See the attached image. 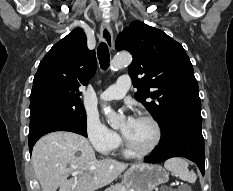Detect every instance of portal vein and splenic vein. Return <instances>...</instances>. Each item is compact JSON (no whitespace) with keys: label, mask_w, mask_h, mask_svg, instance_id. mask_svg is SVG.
I'll return each instance as SVG.
<instances>
[{"label":"portal vein and splenic vein","mask_w":233,"mask_h":191,"mask_svg":"<svg viewBox=\"0 0 233 191\" xmlns=\"http://www.w3.org/2000/svg\"><path fill=\"white\" fill-rule=\"evenodd\" d=\"M80 172L76 171V172H73V176H76L78 175ZM182 184V183H181Z\"/></svg>","instance_id":"obj_1"}]
</instances>
